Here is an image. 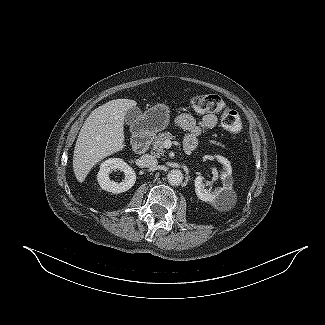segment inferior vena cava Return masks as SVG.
Listing matches in <instances>:
<instances>
[{
  "mask_svg": "<svg viewBox=\"0 0 325 325\" xmlns=\"http://www.w3.org/2000/svg\"><path fill=\"white\" fill-rule=\"evenodd\" d=\"M141 162L144 167L149 168V169H154L158 165L157 159L150 154L143 155L141 157Z\"/></svg>",
  "mask_w": 325,
  "mask_h": 325,
  "instance_id": "602c4592",
  "label": "inferior vena cava"
}]
</instances>
